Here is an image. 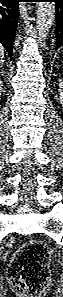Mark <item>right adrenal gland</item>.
Segmentation results:
<instances>
[{"mask_svg": "<svg viewBox=\"0 0 63 297\" xmlns=\"http://www.w3.org/2000/svg\"><path fill=\"white\" fill-rule=\"evenodd\" d=\"M0 69H1V73H4V70L2 69V67H3V63L2 64H0Z\"/></svg>", "mask_w": 63, "mask_h": 297, "instance_id": "obj_1", "label": "right adrenal gland"}]
</instances>
